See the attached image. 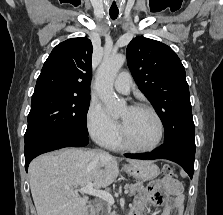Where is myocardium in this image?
I'll return each mask as SVG.
<instances>
[{"label":"myocardium","mask_w":223,"mask_h":215,"mask_svg":"<svg viewBox=\"0 0 223 215\" xmlns=\"http://www.w3.org/2000/svg\"><path fill=\"white\" fill-rule=\"evenodd\" d=\"M133 109H141L149 112L152 117L154 118L156 124H157V138L155 142L149 146V147H136L132 145L125 137L124 129L122 127V124H119V134H118V140L121 142L123 147L129 151H134V152H148V151H153L158 146L160 145L162 138H163V123L161 118L159 117L158 113L155 111L153 107H151L148 104L145 103H140L132 107Z\"/></svg>","instance_id":"myocardium-1"}]
</instances>
